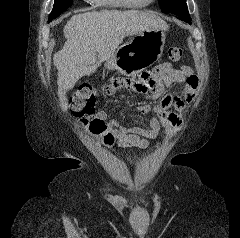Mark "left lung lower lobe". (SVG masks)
I'll return each instance as SVG.
<instances>
[{
	"label": "left lung lower lobe",
	"instance_id": "obj_1",
	"mask_svg": "<svg viewBox=\"0 0 240 238\" xmlns=\"http://www.w3.org/2000/svg\"><path fill=\"white\" fill-rule=\"evenodd\" d=\"M179 19H180V18H179ZM181 20H183V21H185V22L191 24V20H184V19H181Z\"/></svg>",
	"mask_w": 240,
	"mask_h": 238
}]
</instances>
